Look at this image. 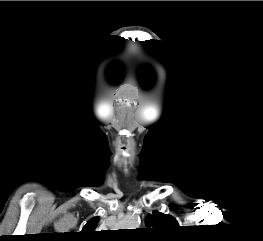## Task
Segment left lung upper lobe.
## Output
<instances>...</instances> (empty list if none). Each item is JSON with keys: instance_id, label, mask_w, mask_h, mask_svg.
<instances>
[{"instance_id": "left-lung-upper-lobe-1", "label": "left lung upper lobe", "mask_w": 263, "mask_h": 241, "mask_svg": "<svg viewBox=\"0 0 263 241\" xmlns=\"http://www.w3.org/2000/svg\"><path fill=\"white\" fill-rule=\"evenodd\" d=\"M146 229L155 232H170L179 228L177 220L171 215L153 211L145 218Z\"/></svg>"}]
</instances>
